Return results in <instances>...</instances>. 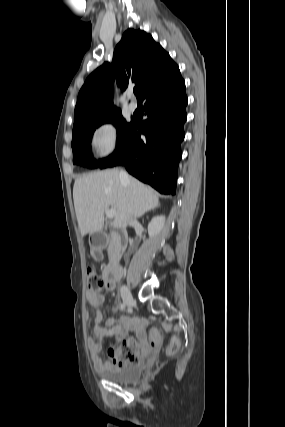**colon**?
I'll return each mask as SVG.
<instances>
[{"mask_svg": "<svg viewBox=\"0 0 285 427\" xmlns=\"http://www.w3.org/2000/svg\"><path fill=\"white\" fill-rule=\"evenodd\" d=\"M99 243V241H97ZM86 285L87 289L92 293H98L104 288V281L101 277L91 268L86 271ZM150 343L152 346H156L159 342V332L156 328H152L150 331ZM178 347V341L176 338H172L169 349L171 351ZM144 349L133 339L126 341L121 347V361L123 362H135L143 354Z\"/></svg>", "mask_w": 285, "mask_h": 427, "instance_id": "obj_1", "label": "colon"}]
</instances>
